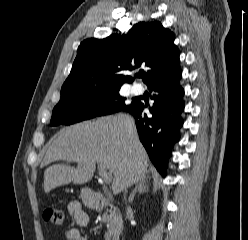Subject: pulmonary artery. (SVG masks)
I'll return each mask as SVG.
<instances>
[{
    "label": "pulmonary artery",
    "mask_w": 248,
    "mask_h": 240,
    "mask_svg": "<svg viewBox=\"0 0 248 240\" xmlns=\"http://www.w3.org/2000/svg\"><path fill=\"white\" fill-rule=\"evenodd\" d=\"M143 91H144V88H143V86H142L141 84H139V83H136V84H134V85L132 86V92H133L134 94H136V95L142 94Z\"/></svg>",
    "instance_id": "obj_1"
}]
</instances>
